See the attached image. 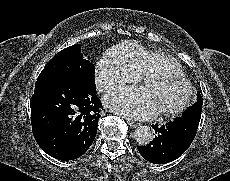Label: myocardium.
<instances>
[{
	"label": "myocardium",
	"mask_w": 230,
	"mask_h": 181,
	"mask_svg": "<svg viewBox=\"0 0 230 181\" xmlns=\"http://www.w3.org/2000/svg\"><path fill=\"white\" fill-rule=\"evenodd\" d=\"M152 80L179 81L186 87L185 95L178 105L170 109L157 110V114L173 116L184 111L188 107L193 96V87L191 82L184 75L180 76L169 72H150L140 79L138 88L144 89V86Z\"/></svg>",
	"instance_id": "f54148a6"
}]
</instances>
